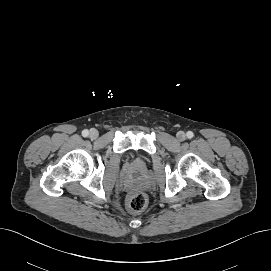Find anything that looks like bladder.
<instances>
[{"label":"bladder","instance_id":"31cf9c89","mask_svg":"<svg viewBox=\"0 0 271 271\" xmlns=\"http://www.w3.org/2000/svg\"><path fill=\"white\" fill-rule=\"evenodd\" d=\"M134 162H135V164H136L137 166H139V167H142V166L145 165V160L140 159V158L135 159Z\"/></svg>","mask_w":271,"mask_h":271}]
</instances>
